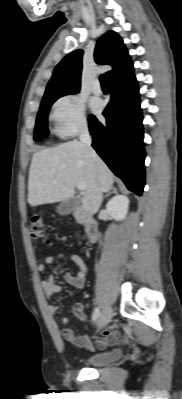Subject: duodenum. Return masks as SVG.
I'll list each match as a JSON object with an SVG mask.
<instances>
[{"label": "duodenum", "mask_w": 182, "mask_h": 399, "mask_svg": "<svg viewBox=\"0 0 182 399\" xmlns=\"http://www.w3.org/2000/svg\"><path fill=\"white\" fill-rule=\"evenodd\" d=\"M77 218L84 224L87 241L90 244L96 242L98 238V224L90 217L89 213L82 207L75 210Z\"/></svg>", "instance_id": "obj_1"}]
</instances>
